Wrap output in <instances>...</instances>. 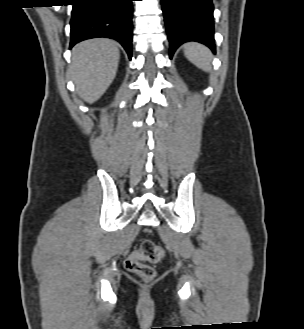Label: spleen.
<instances>
[{
  "instance_id": "1",
  "label": "spleen",
  "mask_w": 304,
  "mask_h": 329,
  "mask_svg": "<svg viewBox=\"0 0 304 329\" xmlns=\"http://www.w3.org/2000/svg\"><path fill=\"white\" fill-rule=\"evenodd\" d=\"M184 55L198 68L209 71L211 53L207 47L199 43H187L184 45Z\"/></svg>"
}]
</instances>
